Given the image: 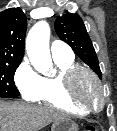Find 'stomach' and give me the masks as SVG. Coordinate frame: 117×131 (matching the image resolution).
I'll use <instances>...</instances> for the list:
<instances>
[{
	"label": "stomach",
	"mask_w": 117,
	"mask_h": 131,
	"mask_svg": "<svg viewBox=\"0 0 117 131\" xmlns=\"http://www.w3.org/2000/svg\"><path fill=\"white\" fill-rule=\"evenodd\" d=\"M51 131H78V125L69 118L55 120Z\"/></svg>",
	"instance_id": "obj_1"
}]
</instances>
